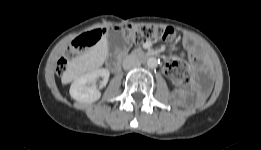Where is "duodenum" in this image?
I'll return each instance as SVG.
<instances>
[{
  "label": "duodenum",
  "mask_w": 261,
  "mask_h": 150,
  "mask_svg": "<svg viewBox=\"0 0 261 150\" xmlns=\"http://www.w3.org/2000/svg\"><path fill=\"white\" fill-rule=\"evenodd\" d=\"M136 57H142V56H148V57H151L152 55L151 54H144L142 52H135L134 54ZM108 65L109 67L113 70V71H116L118 68H119V65H120V58L118 56H113L109 59L108 61Z\"/></svg>",
  "instance_id": "duodenum-1"
}]
</instances>
